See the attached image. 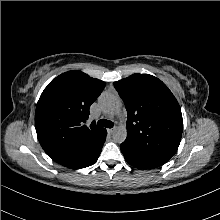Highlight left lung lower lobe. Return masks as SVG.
<instances>
[{
	"instance_id": "left-lung-lower-lobe-1",
	"label": "left lung lower lobe",
	"mask_w": 220,
	"mask_h": 220,
	"mask_svg": "<svg viewBox=\"0 0 220 220\" xmlns=\"http://www.w3.org/2000/svg\"><path fill=\"white\" fill-rule=\"evenodd\" d=\"M120 149L126 161L136 168L154 169L162 166L167 162L152 155H149L144 151L136 149L124 142L120 145Z\"/></svg>"
}]
</instances>
